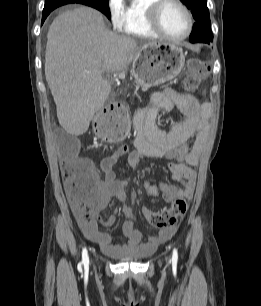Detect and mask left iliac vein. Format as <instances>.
Listing matches in <instances>:
<instances>
[{
    "mask_svg": "<svg viewBox=\"0 0 261 306\" xmlns=\"http://www.w3.org/2000/svg\"><path fill=\"white\" fill-rule=\"evenodd\" d=\"M167 265H169V260L167 259Z\"/></svg>",
    "mask_w": 261,
    "mask_h": 306,
    "instance_id": "4c4485c4",
    "label": "left iliac vein"
}]
</instances>
